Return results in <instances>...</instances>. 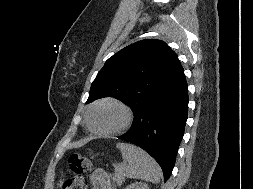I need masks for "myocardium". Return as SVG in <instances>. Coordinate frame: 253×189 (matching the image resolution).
<instances>
[{"mask_svg": "<svg viewBox=\"0 0 253 189\" xmlns=\"http://www.w3.org/2000/svg\"><path fill=\"white\" fill-rule=\"evenodd\" d=\"M104 104L115 105V106L119 107L124 113V121L122 122V124L119 127H117L116 129H113L111 131H105V132L98 131V130L94 129L92 126V123H91V114H92L93 110L101 105H104ZM132 120H133V115H132L130 108L122 101L114 99V98H105V99H101V100L95 102L88 109L87 114H86V125H87L88 130L91 133H93L94 135L101 136V137L115 136V135H119V134L125 132L130 127Z\"/></svg>", "mask_w": 253, "mask_h": 189, "instance_id": "f54148a6", "label": "myocardium"}]
</instances>
